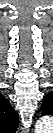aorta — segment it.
<instances>
[{"label": "aorta", "mask_w": 53, "mask_h": 133, "mask_svg": "<svg viewBox=\"0 0 53 133\" xmlns=\"http://www.w3.org/2000/svg\"><path fill=\"white\" fill-rule=\"evenodd\" d=\"M49 122H50L49 117H47V116L42 117L36 124V131H41L43 129H45V130L50 129Z\"/></svg>", "instance_id": "1"}]
</instances>
